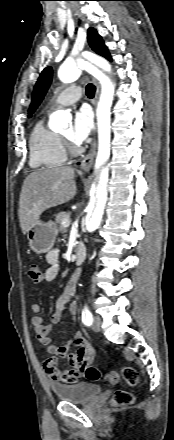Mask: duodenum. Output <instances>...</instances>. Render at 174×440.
<instances>
[{
	"instance_id": "1",
	"label": "duodenum",
	"mask_w": 174,
	"mask_h": 440,
	"mask_svg": "<svg viewBox=\"0 0 174 440\" xmlns=\"http://www.w3.org/2000/svg\"><path fill=\"white\" fill-rule=\"evenodd\" d=\"M86 253V246L83 243H79L76 247L75 261L77 263H82L86 258Z\"/></svg>"
}]
</instances>
